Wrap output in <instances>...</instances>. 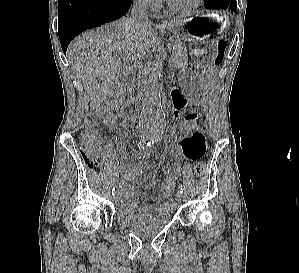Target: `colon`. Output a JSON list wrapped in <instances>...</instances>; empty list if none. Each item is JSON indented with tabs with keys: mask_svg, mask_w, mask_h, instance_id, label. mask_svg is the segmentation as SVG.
<instances>
[{
	"mask_svg": "<svg viewBox=\"0 0 299 273\" xmlns=\"http://www.w3.org/2000/svg\"><path fill=\"white\" fill-rule=\"evenodd\" d=\"M226 43L222 40L217 42L213 62L219 63L223 59ZM199 115L196 112H189L179 122V140L187 138L198 128ZM80 152L85 161L92 167H96L100 156L99 135L90 123L84 124L78 134ZM206 170V164L203 161H197L193 166V173L196 177H201Z\"/></svg>",
	"mask_w": 299,
	"mask_h": 273,
	"instance_id": "colon-1",
	"label": "colon"
}]
</instances>
